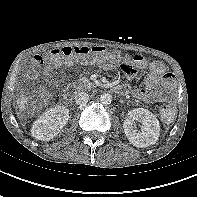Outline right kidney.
<instances>
[{"mask_svg":"<svg viewBox=\"0 0 197 197\" xmlns=\"http://www.w3.org/2000/svg\"><path fill=\"white\" fill-rule=\"evenodd\" d=\"M69 120V110L63 105H57L45 111L33 123L31 134L38 140L53 139Z\"/></svg>","mask_w":197,"mask_h":197,"instance_id":"1","label":"right kidney"}]
</instances>
